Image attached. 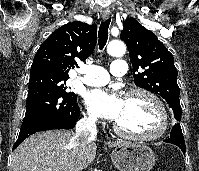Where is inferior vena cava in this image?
I'll return each instance as SVG.
<instances>
[{"label": "inferior vena cava", "instance_id": "obj_1", "mask_svg": "<svg viewBox=\"0 0 199 171\" xmlns=\"http://www.w3.org/2000/svg\"><path fill=\"white\" fill-rule=\"evenodd\" d=\"M96 135L97 128L96 119L94 117H84L77 122L75 137L82 143L94 140ZM84 168V164L79 161L75 166V171H83Z\"/></svg>", "mask_w": 199, "mask_h": 171}]
</instances>
